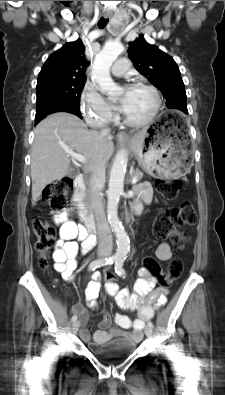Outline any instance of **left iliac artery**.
I'll use <instances>...</instances> for the list:
<instances>
[{
    "label": "left iliac artery",
    "instance_id": "1",
    "mask_svg": "<svg viewBox=\"0 0 225 395\" xmlns=\"http://www.w3.org/2000/svg\"><path fill=\"white\" fill-rule=\"evenodd\" d=\"M123 263H124V259L123 258H118L115 261V267H114L115 268V272L121 277H124L125 274H126L125 270L123 268ZM148 326L153 328V323L151 321H149L148 322Z\"/></svg>",
    "mask_w": 225,
    "mask_h": 395
}]
</instances>
